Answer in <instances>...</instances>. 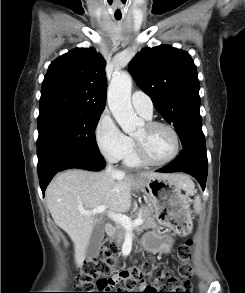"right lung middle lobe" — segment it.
<instances>
[{"label":"right lung middle lobe","mask_w":245,"mask_h":293,"mask_svg":"<svg viewBox=\"0 0 245 293\" xmlns=\"http://www.w3.org/2000/svg\"><path fill=\"white\" fill-rule=\"evenodd\" d=\"M100 115L64 109L39 112L38 170L54 157L68 152L100 154L95 139Z\"/></svg>","instance_id":"obj_1"}]
</instances>
